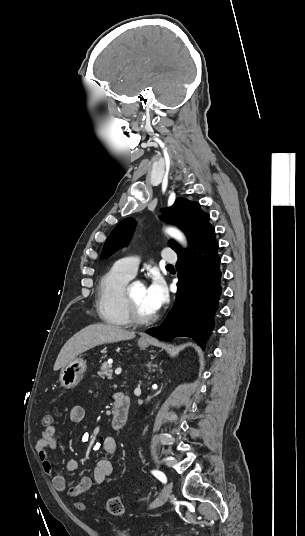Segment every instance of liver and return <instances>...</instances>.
I'll return each mask as SVG.
<instances>
[{"label":"liver","mask_w":305,"mask_h":536,"mask_svg":"<svg viewBox=\"0 0 305 536\" xmlns=\"http://www.w3.org/2000/svg\"><path fill=\"white\" fill-rule=\"evenodd\" d=\"M132 338H135V332L124 330L121 326H112V324H92V326H87V328L77 332L75 336H72L64 344L58 354L53 370L57 372V370L75 360L76 356L95 348V346L123 342V340H132Z\"/></svg>","instance_id":"1"}]
</instances>
